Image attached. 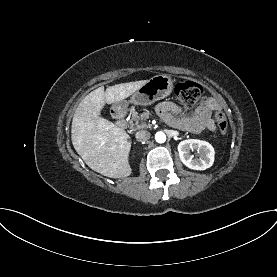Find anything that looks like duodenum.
Wrapping results in <instances>:
<instances>
[{
    "label": "duodenum",
    "mask_w": 277,
    "mask_h": 277,
    "mask_svg": "<svg viewBox=\"0 0 277 277\" xmlns=\"http://www.w3.org/2000/svg\"><path fill=\"white\" fill-rule=\"evenodd\" d=\"M127 109L125 107H115L112 110V114L114 118L116 119V125L119 128H124L126 126V115H127Z\"/></svg>",
    "instance_id": "410a0bca"
}]
</instances>
